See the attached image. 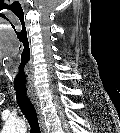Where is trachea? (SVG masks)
<instances>
[{
  "label": "trachea",
  "instance_id": "obj_1",
  "mask_svg": "<svg viewBox=\"0 0 120 133\" xmlns=\"http://www.w3.org/2000/svg\"><path fill=\"white\" fill-rule=\"evenodd\" d=\"M15 91H16V99L20 106V109L25 115L30 125V133H41L36 109L33 103L28 98L26 94V89L15 88Z\"/></svg>",
  "mask_w": 120,
  "mask_h": 133
}]
</instances>
